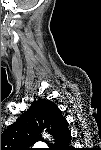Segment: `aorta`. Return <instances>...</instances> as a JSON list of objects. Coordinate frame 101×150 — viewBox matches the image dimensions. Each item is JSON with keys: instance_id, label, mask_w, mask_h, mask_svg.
<instances>
[{"instance_id": "1", "label": "aorta", "mask_w": 101, "mask_h": 150, "mask_svg": "<svg viewBox=\"0 0 101 150\" xmlns=\"http://www.w3.org/2000/svg\"><path fill=\"white\" fill-rule=\"evenodd\" d=\"M44 137H46V138H49V139H50V137H49V135H48V134H44Z\"/></svg>"}]
</instances>
